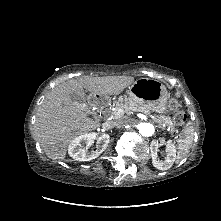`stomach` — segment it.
Instances as JSON below:
<instances>
[{"mask_svg":"<svg viewBox=\"0 0 221 221\" xmlns=\"http://www.w3.org/2000/svg\"><path fill=\"white\" fill-rule=\"evenodd\" d=\"M129 98L151 111L164 113L168 111L169 93L158 80L140 78L128 87Z\"/></svg>","mask_w":221,"mask_h":221,"instance_id":"stomach-1","label":"stomach"}]
</instances>
